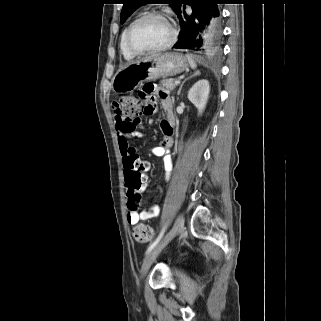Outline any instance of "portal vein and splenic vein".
I'll use <instances>...</instances> for the list:
<instances>
[{"label": "portal vein and splenic vein", "instance_id": "1", "mask_svg": "<svg viewBox=\"0 0 321 321\" xmlns=\"http://www.w3.org/2000/svg\"><path fill=\"white\" fill-rule=\"evenodd\" d=\"M174 83H175L176 85H178V84H180V80H176Z\"/></svg>", "mask_w": 321, "mask_h": 321}]
</instances>
